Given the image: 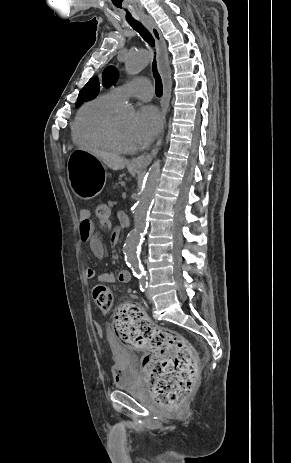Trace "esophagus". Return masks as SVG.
I'll return each instance as SVG.
<instances>
[{
  "label": "esophagus",
  "mask_w": 291,
  "mask_h": 463,
  "mask_svg": "<svg viewBox=\"0 0 291 463\" xmlns=\"http://www.w3.org/2000/svg\"><path fill=\"white\" fill-rule=\"evenodd\" d=\"M142 23L148 28V30L151 32L156 41L158 68L163 80V97L161 99L162 128L160 137L157 140L155 147L151 151V153L140 155L131 160V164L144 168L147 167L151 163L153 158L156 156L163 141L164 128L166 125V114L171 93L172 82L168 61L167 46L157 24L155 23L153 18L148 16L142 18Z\"/></svg>",
  "instance_id": "obj_1"
}]
</instances>
